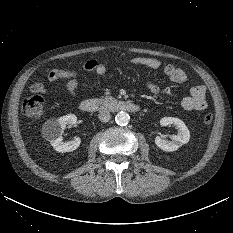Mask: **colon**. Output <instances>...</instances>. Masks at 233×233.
Returning a JSON list of instances; mask_svg holds the SVG:
<instances>
[{"label": "colon", "mask_w": 233, "mask_h": 233, "mask_svg": "<svg viewBox=\"0 0 233 233\" xmlns=\"http://www.w3.org/2000/svg\"><path fill=\"white\" fill-rule=\"evenodd\" d=\"M44 99L41 95H33L25 99L22 103V112L26 117L38 118L43 113ZM213 121V115L207 113L203 117V122L206 125L211 124Z\"/></svg>", "instance_id": "1"}]
</instances>
